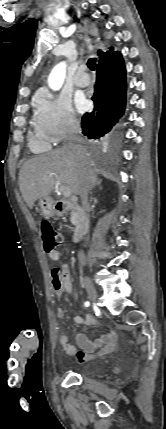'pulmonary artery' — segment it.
<instances>
[{"mask_svg": "<svg viewBox=\"0 0 166 429\" xmlns=\"http://www.w3.org/2000/svg\"><path fill=\"white\" fill-rule=\"evenodd\" d=\"M85 66H80L77 70V74L74 78V83L76 86L84 88L86 86L89 85L90 81L89 78L87 76V74L85 73Z\"/></svg>", "mask_w": 166, "mask_h": 429, "instance_id": "pulmonary-artery-1", "label": "pulmonary artery"}]
</instances>
